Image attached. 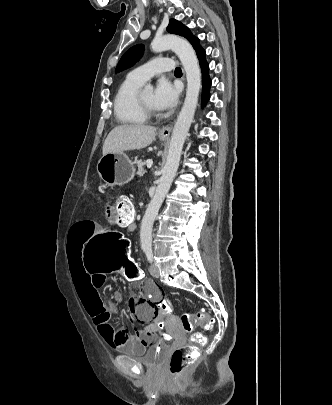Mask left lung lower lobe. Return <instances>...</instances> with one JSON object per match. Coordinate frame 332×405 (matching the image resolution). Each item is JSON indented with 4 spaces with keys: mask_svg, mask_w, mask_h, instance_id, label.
I'll list each match as a JSON object with an SVG mask.
<instances>
[{
    "mask_svg": "<svg viewBox=\"0 0 332 405\" xmlns=\"http://www.w3.org/2000/svg\"><path fill=\"white\" fill-rule=\"evenodd\" d=\"M199 63L202 69V82H203V89H202V106L206 105L207 101L210 98V86H211V79L209 77L208 71H209V64L207 63L205 59V50L201 47L196 50Z\"/></svg>",
    "mask_w": 332,
    "mask_h": 405,
    "instance_id": "obj_1",
    "label": "left lung lower lobe"
}]
</instances>
